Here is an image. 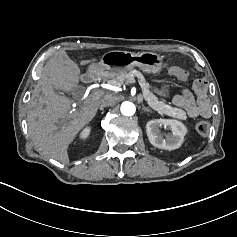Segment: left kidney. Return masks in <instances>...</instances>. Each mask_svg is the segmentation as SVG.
Here are the masks:
<instances>
[{"instance_id":"left-kidney-1","label":"left kidney","mask_w":237,"mask_h":237,"mask_svg":"<svg viewBox=\"0 0 237 237\" xmlns=\"http://www.w3.org/2000/svg\"><path fill=\"white\" fill-rule=\"evenodd\" d=\"M161 125L168 126L172 131V135L166 139L161 135L159 127ZM146 132L150 143L160 149L175 150L178 149L187 133L186 126L174 119H154L147 122Z\"/></svg>"}]
</instances>
